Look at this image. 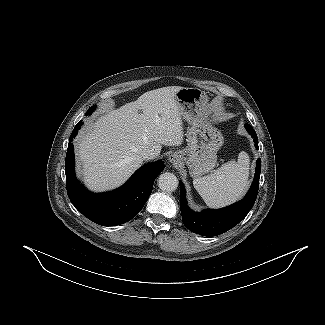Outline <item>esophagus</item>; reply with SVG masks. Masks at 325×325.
<instances>
[{"mask_svg":"<svg viewBox=\"0 0 325 325\" xmlns=\"http://www.w3.org/2000/svg\"><path fill=\"white\" fill-rule=\"evenodd\" d=\"M169 161H170V163L173 164V165H179L180 162H181V159H180V157H179L178 154L173 153V154H171V155L169 156Z\"/></svg>","mask_w":325,"mask_h":325,"instance_id":"34e87169","label":"esophagus"}]
</instances>
